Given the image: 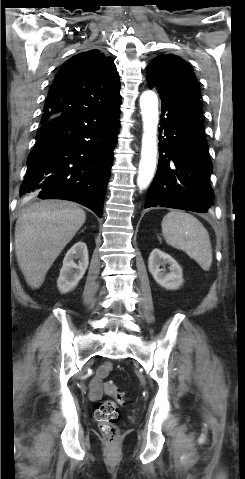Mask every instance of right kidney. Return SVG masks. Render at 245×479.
Returning a JSON list of instances; mask_svg holds the SVG:
<instances>
[{
	"label": "right kidney",
	"instance_id": "obj_1",
	"mask_svg": "<svg viewBox=\"0 0 245 479\" xmlns=\"http://www.w3.org/2000/svg\"><path fill=\"white\" fill-rule=\"evenodd\" d=\"M75 260H79L78 264ZM89 265L87 246L84 242L75 243L66 253L57 287L61 293L73 290L84 276Z\"/></svg>",
	"mask_w": 245,
	"mask_h": 479
}]
</instances>
